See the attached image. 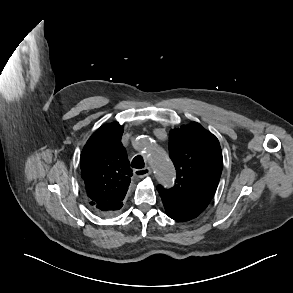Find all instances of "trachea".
<instances>
[{
    "label": "trachea",
    "mask_w": 293,
    "mask_h": 293,
    "mask_svg": "<svg viewBox=\"0 0 293 293\" xmlns=\"http://www.w3.org/2000/svg\"><path fill=\"white\" fill-rule=\"evenodd\" d=\"M132 167L136 168V169L144 168L143 158L141 156H139V155L134 157V159L132 160Z\"/></svg>",
    "instance_id": "trachea-1"
}]
</instances>
